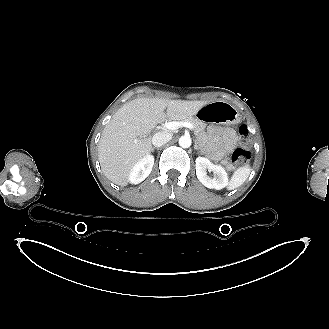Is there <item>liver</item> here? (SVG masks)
I'll use <instances>...</instances> for the list:
<instances>
[{
	"label": "liver",
	"instance_id": "liver-1",
	"mask_svg": "<svg viewBox=\"0 0 329 329\" xmlns=\"http://www.w3.org/2000/svg\"><path fill=\"white\" fill-rule=\"evenodd\" d=\"M208 103L137 98L124 104L105 126L99 141L98 157L104 175L113 183L126 186L132 167L151 151V138L146 135L158 123L192 117Z\"/></svg>",
	"mask_w": 329,
	"mask_h": 329
}]
</instances>
